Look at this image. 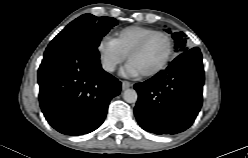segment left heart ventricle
Here are the masks:
<instances>
[{"label": "left heart ventricle", "instance_id": "obj_1", "mask_svg": "<svg viewBox=\"0 0 248 158\" xmlns=\"http://www.w3.org/2000/svg\"><path fill=\"white\" fill-rule=\"evenodd\" d=\"M168 42L161 35L153 36L144 48L130 59L141 73L149 72L158 67L166 57Z\"/></svg>", "mask_w": 248, "mask_h": 158}]
</instances>
